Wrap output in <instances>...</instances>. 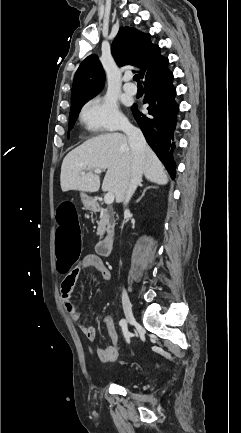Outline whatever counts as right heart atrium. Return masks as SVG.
I'll use <instances>...</instances> for the list:
<instances>
[{
  "label": "right heart atrium",
  "mask_w": 241,
  "mask_h": 433,
  "mask_svg": "<svg viewBox=\"0 0 241 433\" xmlns=\"http://www.w3.org/2000/svg\"><path fill=\"white\" fill-rule=\"evenodd\" d=\"M79 118L90 131H118L126 127V120L116 102L109 97H95L81 109Z\"/></svg>",
  "instance_id": "d8ad5b80"
}]
</instances>
